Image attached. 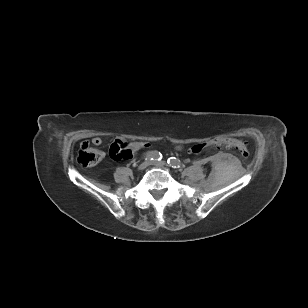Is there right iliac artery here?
Masks as SVG:
<instances>
[{"label": "right iliac artery", "instance_id": "right-iliac-artery-1", "mask_svg": "<svg viewBox=\"0 0 308 308\" xmlns=\"http://www.w3.org/2000/svg\"><path fill=\"white\" fill-rule=\"evenodd\" d=\"M144 157L146 160L160 161L162 159V154L158 151H149L145 153Z\"/></svg>", "mask_w": 308, "mask_h": 308}]
</instances>
